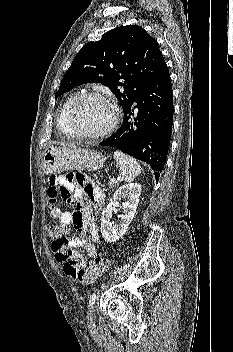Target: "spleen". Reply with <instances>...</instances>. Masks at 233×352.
I'll use <instances>...</instances> for the list:
<instances>
[{
	"instance_id": "1",
	"label": "spleen",
	"mask_w": 233,
	"mask_h": 352,
	"mask_svg": "<svg viewBox=\"0 0 233 352\" xmlns=\"http://www.w3.org/2000/svg\"><path fill=\"white\" fill-rule=\"evenodd\" d=\"M114 159L125 182H132L142 171L141 166L135 159L121 151L114 152Z\"/></svg>"
}]
</instances>
